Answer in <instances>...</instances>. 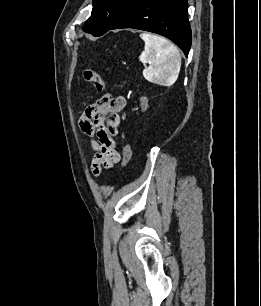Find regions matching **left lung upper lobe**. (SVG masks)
<instances>
[{"label":"left lung upper lobe","instance_id":"5c2ea615","mask_svg":"<svg viewBox=\"0 0 261 306\" xmlns=\"http://www.w3.org/2000/svg\"><path fill=\"white\" fill-rule=\"evenodd\" d=\"M133 0H93L91 16L83 31L101 36L110 30L122 17Z\"/></svg>","mask_w":261,"mask_h":306}]
</instances>
